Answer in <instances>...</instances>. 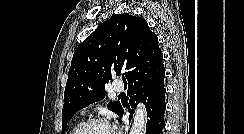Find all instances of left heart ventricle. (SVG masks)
<instances>
[{"label": "left heart ventricle", "mask_w": 244, "mask_h": 134, "mask_svg": "<svg viewBox=\"0 0 244 134\" xmlns=\"http://www.w3.org/2000/svg\"><path fill=\"white\" fill-rule=\"evenodd\" d=\"M84 134H115L114 131L104 125H94L87 129Z\"/></svg>", "instance_id": "b2bd125f"}]
</instances>
